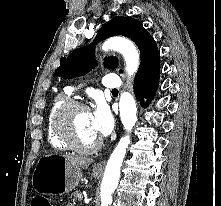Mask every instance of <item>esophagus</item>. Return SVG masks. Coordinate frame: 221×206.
<instances>
[{
  "label": "esophagus",
  "mask_w": 221,
  "mask_h": 206,
  "mask_svg": "<svg viewBox=\"0 0 221 206\" xmlns=\"http://www.w3.org/2000/svg\"><path fill=\"white\" fill-rule=\"evenodd\" d=\"M105 163H106L105 160H102V161L98 162V163L94 166V169H95V170H103L104 167H105Z\"/></svg>",
  "instance_id": "obj_1"
}]
</instances>
